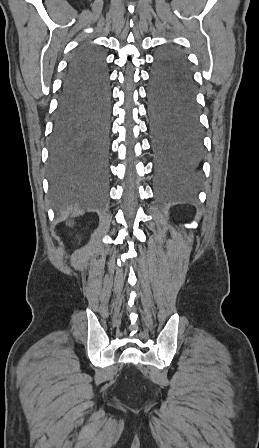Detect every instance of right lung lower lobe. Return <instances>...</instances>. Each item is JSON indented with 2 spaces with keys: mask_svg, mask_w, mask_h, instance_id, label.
<instances>
[{
  "mask_svg": "<svg viewBox=\"0 0 259 448\" xmlns=\"http://www.w3.org/2000/svg\"><path fill=\"white\" fill-rule=\"evenodd\" d=\"M110 79L103 52L85 43L66 70L49 148L53 183L105 184L110 161Z\"/></svg>",
  "mask_w": 259,
  "mask_h": 448,
  "instance_id": "98d812e1",
  "label": "right lung lower lobe"
}]
</instances>
